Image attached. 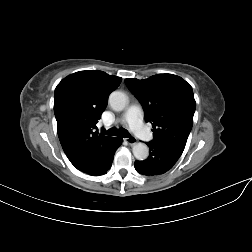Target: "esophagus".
Returning <instances> with one entry per match:
<instances>
[{"label":"esophagus","mask_w":252,"mask_h":252,"mask_svg":"<svg viewBox=\"0 0 252 252\" xmlns=\"http://www.w3.org/2000/svg\"><path fill=\"white\" fill-rule=\"evenodd\" d=\"M125 141H126L129 145H134V144L137 142L136 138H134V137L125 138Z\"/></svg>","instance_id":"esophagus-1"}]
</instances>
